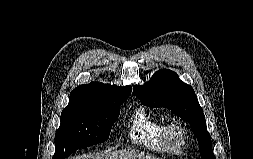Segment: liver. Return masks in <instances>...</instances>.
Instances as JSON below:
<instances>
[{"instance_id":"liver-1","label":"liver","mask_w":253,"mask_h":159,"mask_svg":"<svg viewBox=\"0 0 253 159\" xmlns=\"http://www.w3.org/2000/svg\"><path fill=\"white\" fill-rule=\"evenodd\" d=\"M69 159H156L149 154L139 152L137 150L127 149L118 151H105L104 153L97 154H84L77 157H71Z\"/></svg>"}]
</instances>
